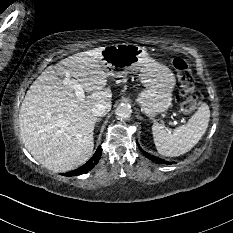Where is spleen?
<instances>
[{
    "label": "spleen",
    "mask_w": 233,
    "mask_h": 233,
    "mask_svg": "<svg viewBox=\"0 0 233 233\" xmlns=\"http://www.w3.org/2000/svg\"><path fill=\"white\" fill-rule=\"evenodd\" d=\"M209 119V106L202 103L187 124L172 131L155 122L152 126V134L159 154L176 157L190 151L205 134Z\"/></svg>",
    "instance_id": "1"
}]
</instances>
